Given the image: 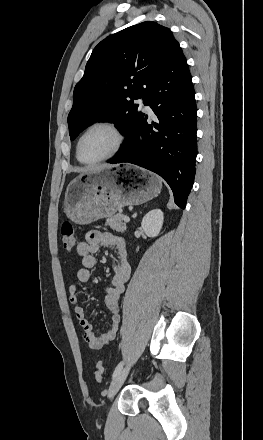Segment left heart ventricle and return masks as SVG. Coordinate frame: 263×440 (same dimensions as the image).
Instances as JSON below:
<instances>
[{"instance_id":"left-heart-ventricle-1","label":"left heart ventricle","mask_w":263,"mask_h":440,"mask_svg":"<svg viewBox=\"0 0 263 440\" xmlns=\"http://www.w3.org/2000/svg\"><path fill=\"white\" fill-rule=\"evenodd\" d=\"M116 135L107 127H96L83 138L80 156L85 161H93L109 154L116 144Z\"/></svg>"}]
</instances>
